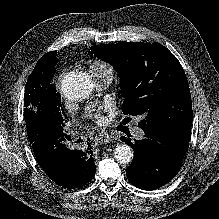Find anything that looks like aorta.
<instances>
[{
  "label": "aorta",
  "mask_w": 219,
  "mask_h": 219,
  "mask_svg": "<svg viewBox=\"0 0 219 219\" xmlns=\"http://www.w3.org/2000/svg\"><path fill=\"white\" fill-rule=\"evenodd\" d=\"M93 83L90 77L83 72L67 75L62 82L63 94L74 101L83 100L91 94ZM133 150L126 144L117 145L114 149V158L120 164H128L133 159Z\"/></svg>",
  "instance_id": "762f6f07"
}]
</instances>
